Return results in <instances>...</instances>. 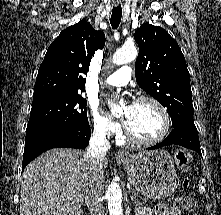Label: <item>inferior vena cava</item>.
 <instances>
[{
	"label": "inferior vena cava",
	"mask_w": 221,
	"mask_h": 215,
	"mask_svg": "<svg viewBox=\"0 0 221 215\" xmlns=\"http://www.w3.org/2000/svg\"><path fill=\"white\" fill-rule=\"evenodd\" d=\"M109 149L110 143L106 138V132L102 129H96L90 139L85 155L86 159H88L93 165L95 173V177L90 181L89 188L85 196V203L88 206L91 215H104L103 207L99 201L101 185L98 183L96 174L98 171V165L104 160Z\"/></svg>",
	"instance_id": "inferior-vena-cava-1"
}]
</instances>
